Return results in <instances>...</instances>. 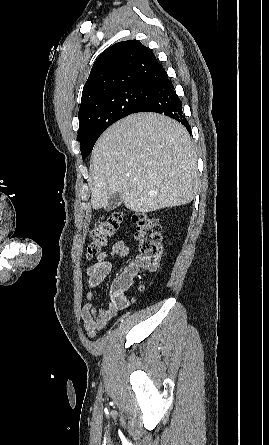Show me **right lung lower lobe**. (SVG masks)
Masks as SVG:
<instances>
[{"label":"right lung lower lobe","instance_id":"98d812e1","mask_svg":"<svg viewBox=\"0 0 269 445\" xmlns=\"http://www.w3.org/2000/svg\"><path fill=\"white\" fill-rule=\"evenodd\" d=\"M154 91L150 99L142 103L134 113L137 112H156L169 116L182 125L191 133L188 121L185 119L182 111V102L177 96L172 81L167 73L153 85Z\"/></svg>","mask_w":269,"mask_h":445}]
</instances>
